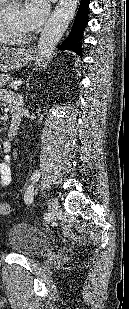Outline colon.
<instances>
[{
  "label": "colon",
  "mask_w": 129,
  "mask_h": 309,
  "mask_svg": "<svg viewBox=\"0 0 129 309\" xmlns=\"http://www.w3.org/2000/svg\"><path fill=\"white\" fill-rule=\"evenodd\" d=\"M10 211V208L8 206V204L6 203H0V212L3 214H6Z\"/></svg>",
  "instance_id": "obj_1"
}]
</instances>
